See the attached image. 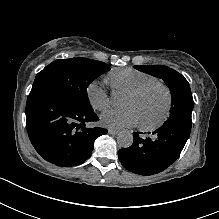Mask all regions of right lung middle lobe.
Wrapping results in <instances>:
<instances>
[{"label":"right lung middle lobe","instance_id":"right-lung-middle-lobe-1","mask_svg":"<svg viewBox=\"0 0 219 219\" xmlns=\"http://www.w3.org/2000/svg\"><path fill=\"white\" fill-rule=\"evenodd\" d=\"M110 65L87 58L59 59L40 71L31 92L46 91L64 96L80 107L90 108L87 87Z\"/></svg>","mask_w":219,"mask_h":219}]
</instances>
